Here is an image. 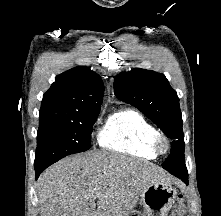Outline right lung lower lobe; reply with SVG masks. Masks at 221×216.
<instances>
[{
    "mask_svg": "<svg viewBox=\"0 0 221 216\" xmlns=\"http://www.w3.org/2000/svg\"><path fill=\"white\" fill-rule=\"evenodd\" d=\"M47 165H40V166H35V174H36V179L39 177V175L41 174V172L47 168Z\"/></svg>",
    "mask_w": 221,
    "mask_h": 216,
    "instance_id": "98d812e1",
    "label": "right lung lower lobe"
}]
</instances>
